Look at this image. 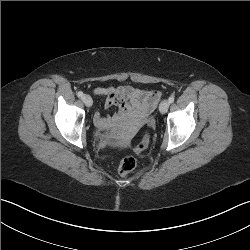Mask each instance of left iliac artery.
I'll use <instances>...</instances> for the list:
<instances>
[{"mask_svg":"<svg viewBox=\"0 0 250 250\" xmlns=\"http://www.w3.org/2000/svg\"><path fill=\"white\" fill-rule=\"evenodd\" d=\"M168 101H169V103H173L174 102V97L173 96L169 97Z\"/></svg>","mask_w":250,"mask_h":250,"instance_id":"1","label":"left iliac artery"}]
</instances>
